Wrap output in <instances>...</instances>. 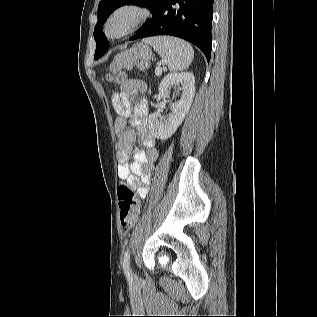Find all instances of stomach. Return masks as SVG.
Returning <instances> with one entry per match:
<instances>
[{
  "mask_svg": "<svg viewBox=\"0 0 317 317\" xmlns=\"http://www.w3.org/2000/svg\"><path fill=\"white\" fill-rule=\"evenodd\" d=\"M151 56L152 52L149 46L145 44H136L130 49L121 52L116 57H125L127 61L124 65L131 66L138 60L149 61Z\"/></svg>",
  "mask_w": 317,
  "mask_h": 317,
  "instance_id": "0dacf381",
  "label": "stomach"
}]
</instances>
